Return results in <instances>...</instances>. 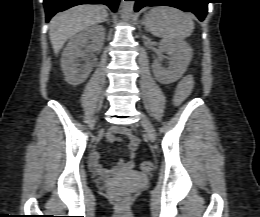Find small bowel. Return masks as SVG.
<instances>
[{
  "label": "small bowel",
  "instance_id": "small-bowel-1",
  "mask_svg": "<svg viewBox=\"0 0 260 217\" xmlns=\"http://www.w3.org/2000/svg\"><path fill=\"white\" fill-rule=\"evenodd\" d=\"M193 85V79L191 75H185L177 85L176 91V102L182 101L191 91ZM124 135L130 138L128 145L129 158L127 160H120L112 170H107L99 164V153L94 151L90 155V163L95 173L101 178H110L113 174H124L130 173L134 170L135 161L134 155L139 147V140L134 136L131 131L126 127H115L112 132L108 135L106 142H115L119 138L117 135Z\"/></svg>",
  "mask_w": 260,
  "mask_h": 217
}]
</instances>
